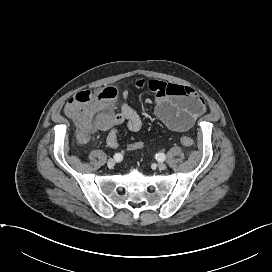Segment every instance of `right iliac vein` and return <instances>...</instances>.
Wrapping results in <instances>:
<instances>
[{"instance_id":"obj_1","label":"right iliac vein","mask_w":272,"mask_h":272,"mask_svg":"<svg viewBox=\"0 0 272 272\" xmlns=\"http://www.w3.org/2000/svg\"><path fill=\"white\" fill-rule=\"evenodd\" d=\"M115 159H113V158H111V159H109L108 160V162H107V166L109 167V168H113L114 166H115Z\"/></svg>"}]
</instances>
